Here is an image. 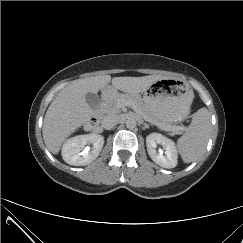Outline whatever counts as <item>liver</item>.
Wrapping results in <instances>:
<instances>
[{"label": "liver", "instance_id": "obj_1", "mask_svg": "<svg viewBox=\"0 0 243 243\" xmlns=\"http://www.w3.org/2000/svg\"><path fill=\"white\" fill-rule=\"evenodd\" d=\"M164 78L160 75H149L111 79L110 75H100L72 82L59 92L47 109L42 128L46 147L53 154H57L63 142L89 120L93 110L86 102L87 93L96 94L111 81L114 89L137 97L153 83Z\"/></svg>", "mask_w": 243, "mask_h": 243}]
</instances>
